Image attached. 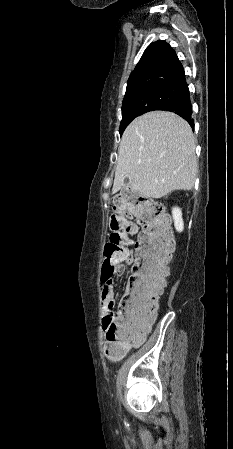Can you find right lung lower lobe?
<instances>
[{
  "mask_svg": "<svg viewBox=\"0 0 233 449\" xmlns=\"http://www.w3.org/2000/svg\"><path fill=\"white\" fill-rule=\"evenodd\" d=\"M182 91L183 97L181 99L170 102L161 107L159 110L171 111L178 114L184 118L192 128H194V120L192 119V105L190 102L188 86L186 85Z\"/></svg>",
  "mask_w": 233,
  "mask_h": 449,
  "instance_id": "right-lung-lower-lobe-1",
  "label": "right lung lower lobe"
}]
</instances>
